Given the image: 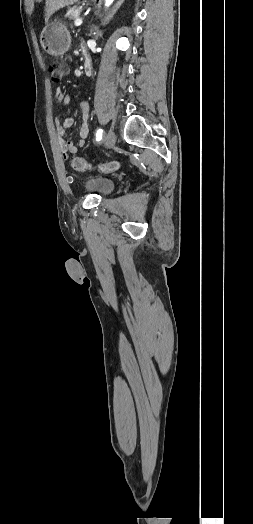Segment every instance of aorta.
I'll use <instances>...</instances> for the list:
<instances>
[{
    "mask_svg": "<svg viewBox=\"0 0 253 524\" xmlns=\"http://www.w3.org/2000/svg\"><path fill=\"white\" fill-rule=\"evenodd\" d=\"M114 0H105V6L109 7Z\"/></svg>",
    "mask_w": 253,
    "mask_h": 524,
    "instance_id": "obj_1",
    "label": "aorta"
}]
</instances>
